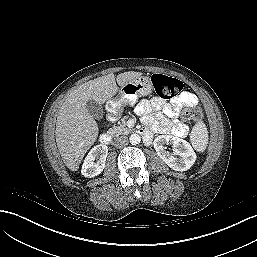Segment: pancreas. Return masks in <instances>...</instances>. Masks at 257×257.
I'll return each instance as SVG.
<instances>
[{
    "label": "pancreas",
    "mask_w": 257,
    "mask_h": 257,
    "mask_svg": "<svg viewBox=\"0 0 257 257\" xmlns=\"http://www.w3.org/2000/svg\"><path fill=\"white\" fill-rule=\"evenodd\" d=\"M132 132V129L126 126V123H122L119 126H114L109 130V133L115 136L128 135Z\"/></svg>",
    "instance_id": "pancreas-1"
}]
</instances>
